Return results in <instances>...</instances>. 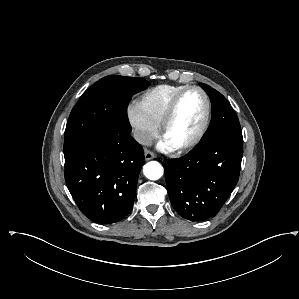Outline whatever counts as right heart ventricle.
Instances as JSON below:
<instances>
[{"mask_svg":"<svg viewBox=\"0 0 299 299\" xmlns=\"http://www.w3.org/2000/svg\"><path fill=\"white\" fill-rule=\"evenodd\" d=\"M186 85L162 84L144 92L137 104L143 113L157 126L166 112L173 97Z\"/></svg>","mask_w":299,"mask_h":299,"instance_id":"right-heart-ventricle-1","label":"right heart ventricle"}]
</instances>
